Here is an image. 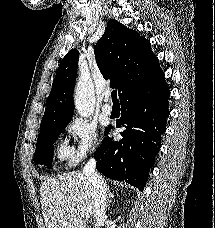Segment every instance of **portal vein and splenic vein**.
<instances>
[{"label":"portal vein and splenic vein","mask_w":215,"mask_h":228,"mask_svg":"<svg viewBox=\"0 0 215 228\" xmlns=\"http://www.w3.org/2000/svg\"><path fill=\"white\" fill-rule=\"evenodd\" d=\"M74 206H77V204H74ZM77 210H79V208H77ZM81 214H83V216H88L89 212H83V210H80Z\"/></svg>","instance_id":"1"}]
</instances>
